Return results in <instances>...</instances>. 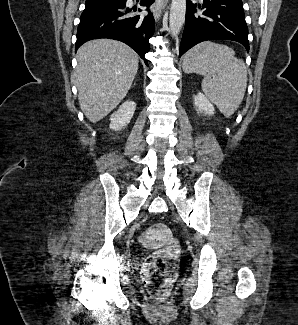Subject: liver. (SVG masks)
<instances>
[{"instance_id": "liver-1", "label": "liver", "mask_w": 298, "mask_h": 325, "mask_svg": "<svg viewBox=\"0 0 298 325\" xmlns=\"http://www.w3.org/2000/svg\"><path fill=\"white\" fill-rule=\"evenodd\" d=\"M77 58L80 108L90 122H98L126 96L138 70L139 56L124 42L97 38L82 44Z\"/></svg>"}]
</instances>
